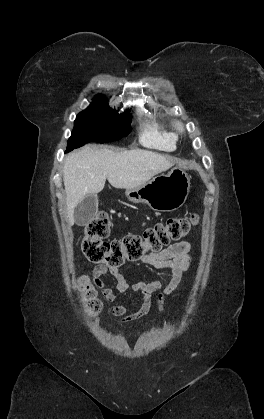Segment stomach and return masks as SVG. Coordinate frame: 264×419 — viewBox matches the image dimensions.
<instances>
[{"mask_svg": "<svg viewBox=\"0 0 264 419\" xmlns=\"http://www.w3.org/2000/svg\"><path fill=\"white\" fill-rule=\"evenodd\" d=\"M190 190V178L180 167H174L164 175L154 177L147 183L127 189L126 197L133 203H146L161 212H171L180 208Z\"/></svg>", "mask_w": 264, "mask_h": 419, "instance_id": "obj_1", "label": "stomach"}]
</instances>
